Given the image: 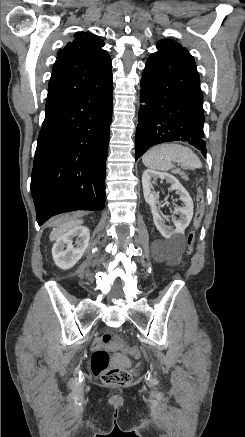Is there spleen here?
<instances>
[{"label":"spleen","mask_w":245,"mask_h":437,"mask_svg":"<svg viewBox=\"0 0 245 437\" xmlns=\"http://www.w3.org/2000/svg\"><path fill=\"white\" fill-rule=\"evenodd\" d=\"M142 161L146 167L159 171L172 169L173 163L190 170L202 167L201 160L190 148L174 143L150 148L142 157Z\"/></svg>","instance_id":"obj_1"}]
</instances>
